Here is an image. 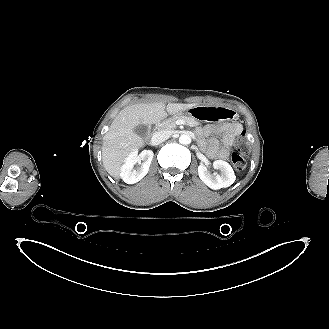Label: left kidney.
<instances>
[{"mask_svg":"<svg viewBox=\"0 0 329 329\" xmlns=\"http://www.w3.org/2000/svg\"><path fill=\"white\" fill-rule=\"evenodd\" d=\"M213 166L221 171V175L217 173L211 174L204 165H199L198 167L199 177L208 187L217 190L229 187L235 182L236 176L229 163L223 160H216L213 162Z\"/></svg>","mask_w":329,"mask_h":329,"instance_id":"left-kidney-1","label":"left kidney"}]
</instances>
